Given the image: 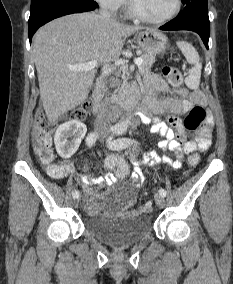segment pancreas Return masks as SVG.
Masks as SVG:
<instances>
[{
    "instance_id": "pancreas-1",
    "label": "pancreas",
    "mask_w": 233,
    "mask_h": 284,
    "mask_svg": "<svg viewBox=\"0 0 233 284\" xmlns=\"http://www.w3.org/2000/svg\"><path fill=\"white\" fill-rule=\"evenodd\" d=\"M143 62L139 65V72L145 73L150 71L153 63L155 62V56L151 54L144 53L141 56ZM123 84L113 93L112 100L116 103H123L128 100V85L126 82V76L122 75Z\"/></svg>"
}]
</instances>
